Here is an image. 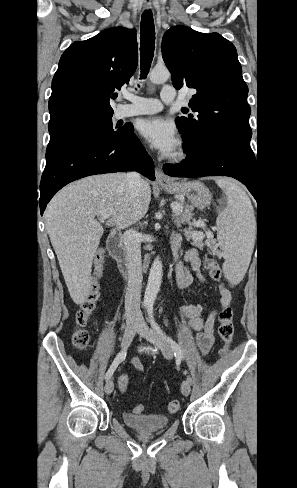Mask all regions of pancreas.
Returning a JSON list of instances; mask_svg holds the SVG:
<instances>
[{"label": "pancreas", "mask_w": 297, "mask_h": 488, "mask_svg": "<svg viewBox=\"0 0 297 488\" xmlns=\"http://www.w3.org/2000/svg\"><path fill=\"white\" fill-rule=\"evenodd\" d=\"M175 204H179L182 208H183V203L182 202H174ZM174 220H175V223L177 226H180V224L184 223V222H189L190 225H194V223H191L190 220L192 218V212L190 211V207L187 206L185 210H182V211H174ZM203 221L200 220L199 223H202ZM190 230H192V227H190ZM194 231L191 232V234L194 235ZM194 243L199 246L200 245V242H197L195 241V239H193Z\"/></svg>", "instance_id": "1"}]
</instances>
